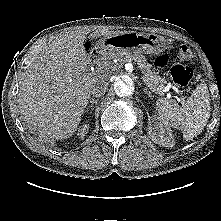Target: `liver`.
Instances as JSON below:
<instances>
[{"mask_svg":"<svg viewBox=\"0 0 221 221\" xmlns=\"http://www.w3.org/2000/svg\"><path fill=\"white\" fill-rule=\"evenodd\" d=\"M123 32H94L89 38ZM88 32L57 36L43 48L22 77L19 107L23 119L43 138L67 139L77 130L95 85L109 79L104 72L86 73L84 46Z\"/></svg>","mask_w":221,"mask_h":221,"instance_id":"liver-1","label":"liver"}]
</instances>
